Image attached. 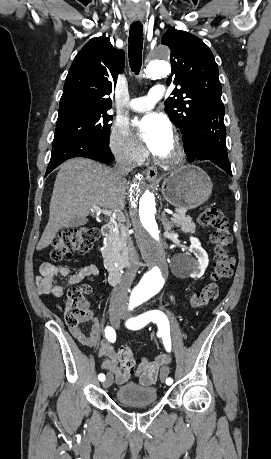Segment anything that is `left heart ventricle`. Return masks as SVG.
I'll return each instance as SVG.
<instances>
[{
    "label": "left heart ventricle",
    "instance_id": "obj_1",
    "mask_svg": "<svg viewBox=\"0 0 271 459\" xmlns=\"http://www.w3.org/2000/svg\"><path fill=\"white\" fill-rule=\"evenodd\" d=\"M172 150V139L169 138L167 141H165L160 149L158 150V152L156 154H159V155H166L168 153H170Z\"/></svg>",
    "mask_w": 271,
    "mask_h": 459
}]
</instances>
